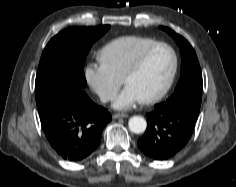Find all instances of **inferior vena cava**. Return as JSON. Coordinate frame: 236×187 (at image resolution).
<instances>
[{
	"mask_svg": "<svg viewBox=\"0 0 236 187\" xmlns=\"http://www.w3.org/2000/svg\"><path fill=\"white\" fill-rule=\"evenodd\" d=\"M113 99H114V96H113V95H108V96L102 97V101L113 100Z\"/></svg>",
	"mask_w": 236,
	"mask_h": 187,
	"instance_id": "obj_1",
	"label": "inferior vena cava"
}]
</instances>
